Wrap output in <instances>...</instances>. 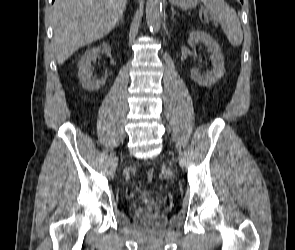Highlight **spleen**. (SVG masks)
Masks as SVG:
<instances>
[{"label":"spleen","mask_w":295,"mask_h":250,"mask_svg":"<svg viewBox=\"0 0 295 250\" xmlns=\"http://www.w3.org/2000/svg\"><path fill=\"white\" fill-rule=\"evenodd\" d=\"M209 11L211 19L218 21L228 41L238 47L243 41V33L235 10L224 0H201Z\"/></svg>","instance_id":"spleen-1"}]
</instances>
